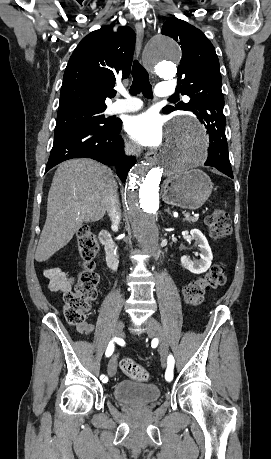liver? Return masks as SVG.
Returning a JSON list of instances; mask_svg holds the SVG:
<instances>
[{
    "instance_id": "6515ba94",
    "label": "liver",
    "mask_w": 271,
    "mask_h": 459,
    "mask_svg": "<svg viewBox=\"0 0 271 459\" xmlns=\"http://www.w3.org/2000/svg\"><path fill=\"white\" fill-rule=\"evenodd\" d=\"M114 184L112 170L95 160L80 158L59 164L48 194L36 261H46L66 245L83 222L101 220Z\"/></svg>"
}]
</instances>
